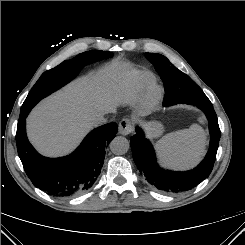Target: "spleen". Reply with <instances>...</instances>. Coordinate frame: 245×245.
<instances>
[{
  "instance_id": "spleen-1",
  "label": "spleen",
  "mask_w": 245,
  "mask_h": 245,
  "mask_svg": "<svg viewBox=\"0 0 245 245\" xmlns=\"http://www.w3.org/2000/svg\"><path fill=\"white\" fill-rule=\"evenodd\" d=\"M205 134L198 124L166 134L156 148L165 166L185 169L193 166L204 151Z\"/></svg>"
}]
</instances>
